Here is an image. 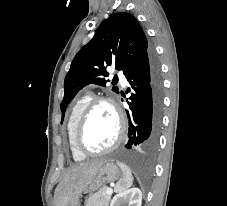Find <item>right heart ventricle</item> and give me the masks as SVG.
<instances>
[{
  "instance_id": "obj_1",
  "label": "right heart ventricle",
  "mask_w": 227,
  "mask_h": 206,
  "mask_svg": "<svg viewBox=\"0 0 227 206\" xmlns=\"http://www.w3.org/2000/svg\"><path fill=\"white\" fill-rule=\"evenodd\" d=\"M91 100L92 96L90 94H85L78 98L73 104L68 116L66 134L71 156L75 161H82L86 158V156L80 153L74 146V132L82 111Z\"/></svg>"
}]
</instances>
